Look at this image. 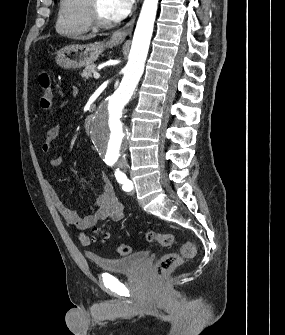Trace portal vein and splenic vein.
<instances>
[{
    "instance_id": "obj_1",
    "label": "portal vein and splenic vein",
    "mask_w": 285,
    "mask_h": 335,
    "mask_svg": "<svg viewBox=\"0 0 285 335\" xmlns=\"http://www.w3.org/2000/svg\"><path fill=\"white\" fill-rule=\"evenodd\" d=\"M93 76H94V78H96V80H97V78H100V74H98V72H94Z\"/></svg>"
}]
</instances>
